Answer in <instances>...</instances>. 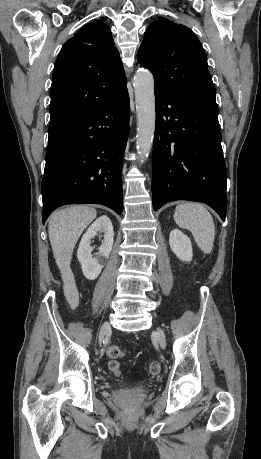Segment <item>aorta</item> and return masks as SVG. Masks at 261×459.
<instances>
[{"label":"aorta","mask_w":261,"mask_h":459,"mask_svg":"<svg viewBox=\"0 0 261 459\" xmlns=\"http://www.w3.org/2000/svg\"><path fill=\"white\" fill-rule=\"evenodd\" d=\"M134 92L137 111V154L140 164L148 158L155 132L154 78L146 69L138 70L134 76Z\"/></svg>","instance_id":"1"}]
</instances>
